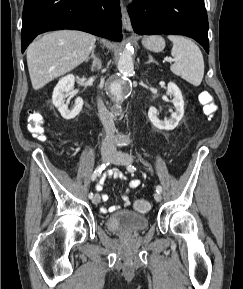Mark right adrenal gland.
Wrapping results in <instances>:
<instances>
[{"mask_svg":"<svg viewBox=\"0 0 243 289\" xmlns=\"http://www.w3.org/2000/svg\"><path fill=\"white\" fill-rule=\"evenodd\" d=\"M95 48L94 47L92 49V52H91V56L88 57L85 61H89L90 59L92 60V65H91V71H94L96 68H98L101 64V61L100 59L97 57V55L95 54Z\"/></svg>","mask_w":243,"mask_h":289,"instance_id":"2a0ac1e0","label":"right adrenal gland"}]
</instances>
